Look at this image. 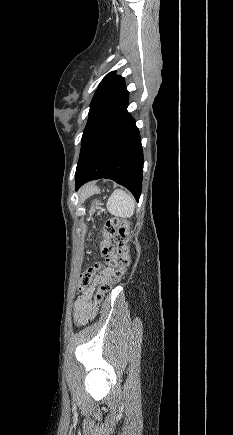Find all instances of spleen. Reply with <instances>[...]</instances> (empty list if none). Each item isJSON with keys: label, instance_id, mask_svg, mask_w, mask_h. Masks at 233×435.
I'll use <instances>...</instances> for the list:
<instances>
[{"label": "spleen", "instance_id": "obj_1", "mask_svg": "<svg viewBox=\"0 0 233 435\" xmlns=\"http://www.w3.org/2000/svg\"><path fill=\"white\" fill-rule=\"evenodd\" d=\"M106 207L110 214L117 217L128 218L134 214L135 200L133 196L125 191L116 189L109 197Z\"/></svg>", "mask_w": 233, "mask_h": 435}]
</instances>
